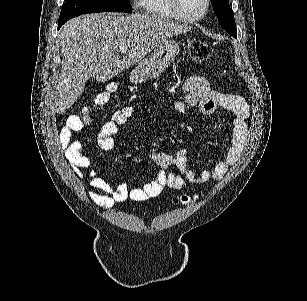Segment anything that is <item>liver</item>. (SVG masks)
Here are the masks:
<instances>
[{
  "mask_svg": "<svg viewBox=\"0 0 307 301\" xmlns=\"http://www.w3.org/2000/svg\"><path fill=\"white\" fill-rule=\"evenodd\" d=\"M189 30L190 24L138 12H99L71 18L58 34L62 66L54 96L55 112H65L74 104L90 76L99 82L110 80L140 62L163 40ZM120 46H128L123 58Z\"/></svg>",
  "mask_w": 307,
  "mask_h": 301,
  "instance_id": "1",
  "label": "liver"
}]
</instances>
